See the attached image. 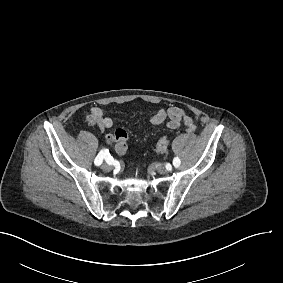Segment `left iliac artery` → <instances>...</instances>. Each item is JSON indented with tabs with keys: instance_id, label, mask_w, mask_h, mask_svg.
I'll return each mask as SVG.
<instances>
[{
	"instance_id": "left-iliac-artery-1",
	"label": "left iliac artery",
	"mask_w": 283,
	"mask_h": 283,
	"mask_svg": "<svg viewBox=\"0 0 283 283\" xmlns=\"http://www.w3.org/2000/svg\"><path fill=\"white\" fill-rule=\"evenodd\" d=\"M180 163H181V161H180V159H179L178 157H175V158L173 159V165H174L175 167H179Z\"/></svg>"
}]
</instances>
